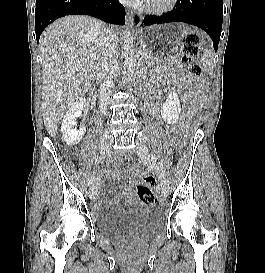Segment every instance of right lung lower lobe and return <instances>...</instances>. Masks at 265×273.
Here are the masks:
<instances>
[{
    "instance_id": "98d812e1",
    "label": "right lung lower lobe",
    "mask_w": 265,
    "mask_h": 273,
    "mask_svg": "<svg viewBox=\"0 0 265 273\" xmlns=\"http://www.w3.org/2000/svg\"><path fill=\"white\" fill-rule=\"evenodd\" d=\"M84 14L105 22L123 25L125 9L118 0H36V39L54 20L66 15Z\"/></svg>"
}]
</instances>
